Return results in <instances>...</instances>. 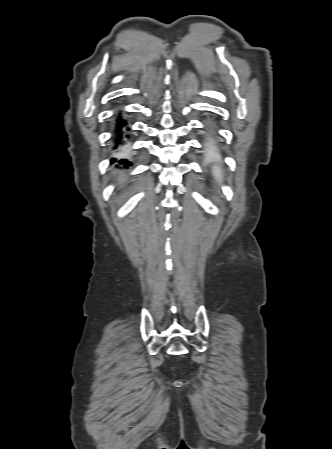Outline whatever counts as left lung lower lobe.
<instances>
[{
    "label": "left lung lower lobe",
    "mask_w": 332,
    "mask_h": 449,
    "mask_svg": "<svg viewBox=\"0 0 332 449\" xmlns=\"http://www.w3.org/2000/svg\"><path fill=\"white\" fill-rule=\"evenodd\" d=\"M211 134V132H209ZM215 144L214 137L212 135L208 136V145L213 146Z\"/></svg>",
    "instance_id": "1"
}]
</instances>
